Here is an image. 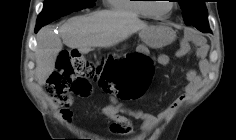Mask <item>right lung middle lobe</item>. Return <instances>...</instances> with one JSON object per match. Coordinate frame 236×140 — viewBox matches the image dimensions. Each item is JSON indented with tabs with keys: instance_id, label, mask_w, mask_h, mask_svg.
<instances>
[{
	"instance_id": "right-lung-middle-lobe-1",
	"label": "right lung middle lobe",
	"mask_w": 236,
	"mask_h": 140,
	"mask_svg": "<svg viewBox=\"0 0 236 140\" xmlns=\"http://www.w3.org/2000/svg\"><path fill=\"white\" fill-rule=\"evenodd\" d=\"M94 5L95 0H45L36 27H42L62 16Z\"/></svg>"
}]
</instances>
